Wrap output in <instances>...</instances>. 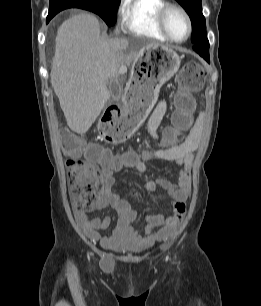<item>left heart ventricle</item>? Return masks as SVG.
<instances>
[{
	"mask_svg": "<svg viewBox=\"0 0 261 306\" xmlns=\"http://www.w3.org/2000/svg\"><path fill=\"white\" fill-rule=\"evenodd\" d=\"M166 25L174 39L181 40L187 34L186 21L178 11L172 10L168 13Z\"/></svg>",
	"mask_w": 261,
	"mask_h": 306,
	"instance_id": "b2bd125f",
	"label": "left heart ventricle"
}]
</instances>
